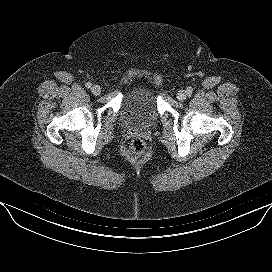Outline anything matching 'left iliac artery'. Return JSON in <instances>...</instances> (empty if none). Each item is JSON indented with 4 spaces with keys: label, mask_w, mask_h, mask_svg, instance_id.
<instances>
[{
    "label": "left iliac artery",
    "mask_w": 272,
    "mask_h": 272,
    "mask_svg": "<svg viewBox=\"0 0 272 272\" xmlns=\"http://www.w3.org/2000/svg\"><path fill=\"white\" fill-rule=\"evenodd\" d=\"M192 91H193V88H192V87H188V88H187V93H188V94H191Z\"/></svg>",
    "instance_id": "obj_1"
}]
</instances>
